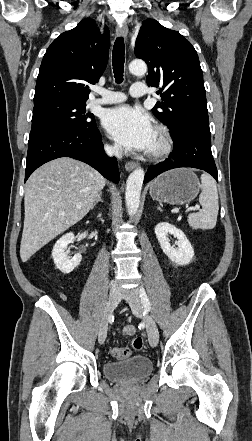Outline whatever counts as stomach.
Returning a JSON list of instances; mask_svg holds the SVG:
<instances>
[{
	"instance_id": "stomach-1",
	"label": "stomach",
	"mask_w": 252,
	"mask_h": 441,
	"mask_svg": "<svg viewBox=\"0 0 252 441\" xmlns=\"http://www.w3.org/2000/svg\"><path fill=\"white\" fill-rule=\"evenodd\" d=\"M200 188L199 179L190 169L178 168L157 177L150 185V196L159 202L182 205L192 201Z\"/></svg>"
}]
</instances>
